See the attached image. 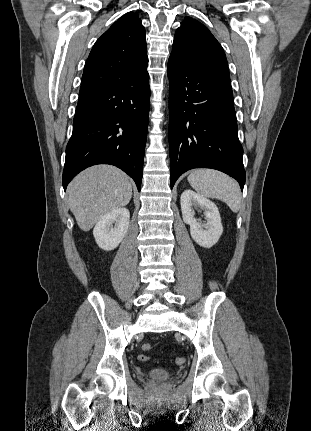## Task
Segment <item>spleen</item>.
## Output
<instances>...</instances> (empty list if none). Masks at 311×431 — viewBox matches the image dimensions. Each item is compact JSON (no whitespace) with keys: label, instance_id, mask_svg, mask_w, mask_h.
<instances>
[{"label":"spleen","instance_id":"spleen-1","mask_svg":"<svg viewBox=\"0 0 311 431\" xmlns=\"http://www.w3.org/2000/svg\"><path fill=\"white\" fill-rule=\"evenodd\" d=\"M187 180L200 196L221 200L232 212H239L242 202L240 188L226 174L216 170H193Z\"/></svg>","mask_w":311,"mask_h":431}]
</instances>
